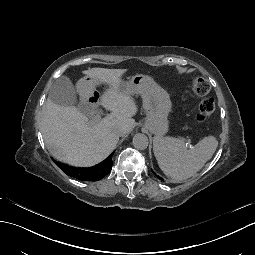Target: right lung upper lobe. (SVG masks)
Here are the masks:
<instances>
[{
    "instance_id": "1",
    "label": "right lung upper lobe",
    "mask_w": 255,
    "mask_h": 255,
    "mask_svg": "<svg viewBox=\"0 0 255 255\" xmlns=\"http://www.w3.org/2000/svg\"><path fill=\"white\" fill-rule=\"evenodd\" d=\"M112 155L98 165L89 168H76L56 162V165L67 175L81 181H98L110 173L112 169Z\"/></svg>"
}]
</instances>
